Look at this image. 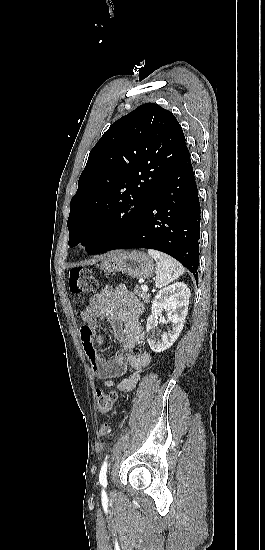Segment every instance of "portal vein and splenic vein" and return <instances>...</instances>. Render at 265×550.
Wrapping results in <instances>:
<instances>
[{"mask_svg": "<svg viewBox=\"0 0 265 550\" xmlns=\"http://www.w3.org/2000/svg\"><path fill=\"white\" fill-rule=\"evenodd\" d=\"M141 289H142L143 292H148V286L147 285H142Z\"/></svg>", "mask_w": 265, "mask_h": 550, "instance_id": "1", "label": "portal vein and splenic vein"}]
</instances>
